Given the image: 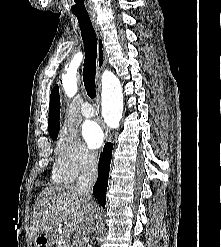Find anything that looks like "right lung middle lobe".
<instances>
[{
  "label": "right lung middle lobe",
  "instance_id": "1",
  "mask_svg": "<svg viewBox=\"0 0 221 247\" xmlns=\"http://www.w3.org/2000/svg\"><path fill=\"white\" fill-rule=\"evenodd\" d=\"M57 137H54V138H52L53 140H55Z\"/></svg>",
  "mask_w": 221,
  "mask_h": 247
}]
</instances>
